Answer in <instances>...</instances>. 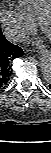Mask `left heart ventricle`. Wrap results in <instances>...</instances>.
<instances>
[{"label": "left heart ventricle", "mask_w": 51, "mask_h": 153, "mask_svg": "<svg viewBox=\"0 0 51 153\" xmlns=\"http://www.w3.org/2000/svg\"><path fill=\"white\" fill-rule=\"evenodd\" d=\"M45 31L48 35H51V22L47 21L45 24Z\"/></svg>", "instance_id": "obj_1"}]
</instances>
